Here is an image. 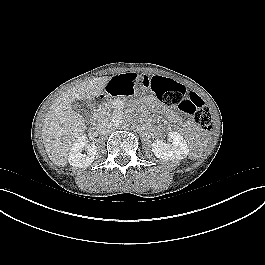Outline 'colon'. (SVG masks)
<instances>
[{
  "mask_svg": "<svg viewBox=\"0 0 265 265\" xmlns=\"http://www.w3.org/2000/svg\"><path fill=\"white\" fill-rule=\"evenodd\" d=\"M152 90L159 101L168 107H178L184 113L194 116L196 123L204 130L212 128L211 113L203 99L170 78L156 76L151 82Z\"/></svg>",
  "mask_w": 265,
  "mask_h": 265,
  "instance_id": "1",
  "label": "colon"
}]
</instances>
